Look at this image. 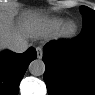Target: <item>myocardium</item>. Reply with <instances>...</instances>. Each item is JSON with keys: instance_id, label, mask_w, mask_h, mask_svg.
Masks as SVG:
<instances>
[{"instance_id": "f54148a6", "label": "myocardium", "mask_w": 95, "mask_h": 95, "mask_svg": "<svg viewBox=\"0 0 95 95\" xmlns=\"http://www.w3.org/2000/svg\"><path fill=\"white\" fill-rule=\"evenodd\" d=\"M78 30V24L73 20H69L62 25L57 35L60 39H72L77 35Z\"/></svg>"}]
</instances>
